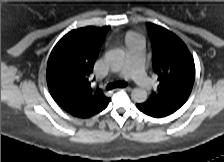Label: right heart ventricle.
<instances>
[{
  "mask_svg": "<svg viewBox=\"0 0 224 162\" xmlns=\"http://www.w3.org/2000/svg\"><path fill=\"white\" fill-rule=\"evenodd\" d=\"M134 39H135V38H134ZM129 40H131V39L128 37V41H129ZM132 40H133V39H132Z\"/></svg>",
  "mask_w": 224,
  "mask_h": 162,
  "instance_id": "right-heart-ventricle-1",
  "label": "right heart ventricle"
}]
</instances>
